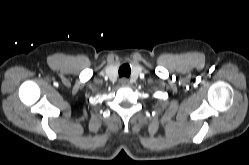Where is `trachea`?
Masks as SVG:
<instances>
[{
  "instance_id": "3493384b",
  "label": "trachea",
  "mask_w": 249,
  "mask_h": 165,
  "mask_svg": "<svg viewBox=\"0 0 249 165\" xmlns=\"http://www.w3.org/2000/svg\"><path fill=\"white\" fill-rule=\"evenodd\" d=\"M131 73V68L128 64H123L120 68H119V76L120 77H129Z\"/></svg>"
}]
</instances>
